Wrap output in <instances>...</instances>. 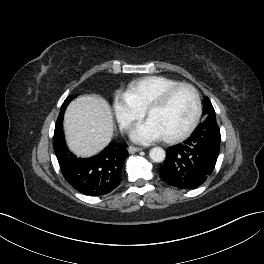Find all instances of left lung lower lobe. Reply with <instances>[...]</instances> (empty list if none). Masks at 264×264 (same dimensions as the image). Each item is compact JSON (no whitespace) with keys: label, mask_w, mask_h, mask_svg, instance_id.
I'll return each mask as SVG.
<instances>
[{"label":"left lung lower lobe","mask_w":264,"mask_h":264,"mask_svg":"<svg viewBox=\"0 0 264 264\" xmlns=\"http://www.w3.org/2000/svg\"><path fill=\"white\" fill-rule=\"evenodd\" d=\"M220 130L216 121H204L183 144L169 147L162 178L180 189L203 184L214 170L220 151Z\"/></svg>","instance_id":"0a47b994"}]
</instances>
